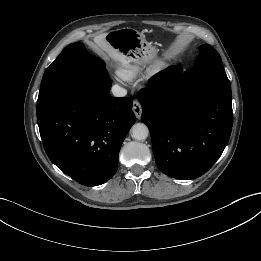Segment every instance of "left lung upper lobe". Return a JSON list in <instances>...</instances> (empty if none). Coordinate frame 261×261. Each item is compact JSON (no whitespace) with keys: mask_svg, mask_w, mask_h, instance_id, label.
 <instances>
[{"mask_svg":"<svg viewBox=\"0 0 261 261\" xmlns=\"http://www.w3.org/2000/svg\"><path fill=\"white\" fill-rule=\"evenodd\" d=\"M194 68L188 70L191 72L194 69L212 67L223 69L221 58L218 52L210 45L204 44L200 46V54L194 63Z\"/></svg>","mask_w":261,"mask_h":261,"instance_id":"5c2ea615","label":"left lung upper lobe"}]
</instances>
